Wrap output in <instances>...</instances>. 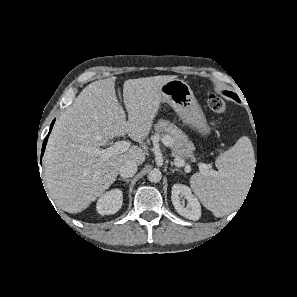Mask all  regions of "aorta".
<instances>
[{
	"mask_svg": "<svg viewBox=\"0 0 297 297\" xmlns=\"http://www.w3.org/2000/svg\"><path fill=\"white\" fill-rule=\"evenodd\" d=\"M162 174L159 169H153L148 174V179L150 182L157 183L161 180Z\"/></svg>",
	"mask_w": 297,
	"mask_h": 297,
	"instance_id": "obj_1",
	"label": "aorta"
}]
</instances>
